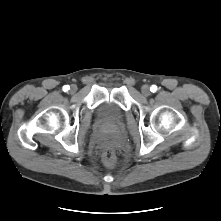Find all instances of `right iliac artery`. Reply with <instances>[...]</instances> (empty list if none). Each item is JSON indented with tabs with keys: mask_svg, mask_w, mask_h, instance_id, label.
I'll list each match as a JSON object with an SVG mask.
<instances>
[{
	"mask_svg": "<svg viewBox=\"0 0 221 221\" xmlns=\"http://www.w3.org/2000/svg\"><path fill=\"white\" fill-rule=\"evenodd\" d=\"M69 89H70L69 85L63 86V91H64V92L68 91Z\"/></svg>",
	"mask_w": 221,
	"mask_h": 221,
	"instance_id": "right-iliac-artery-1",
	"label": "right iliac artery"
}]
</instances>
